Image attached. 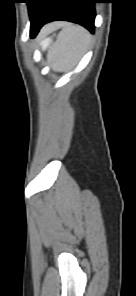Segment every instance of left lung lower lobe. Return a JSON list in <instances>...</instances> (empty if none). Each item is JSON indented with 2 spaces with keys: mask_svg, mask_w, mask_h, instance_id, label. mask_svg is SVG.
<instances>
[{
  "mask_svg": "<svg viewBox=\"0 0 136 296\" xmlns=\"http://www.w3.org/2000/svg\"><path fill=\"white\" fill-rule=\"evenodd\" d=\"M95 3H99V0H53L44 18L31 25V38L38 34L44 24L56 20L80 24L94 33Z\"/></svg>",
  "mask_w": 136,
  "mask_h": 296,
  "instance_id": "1",
  "label": "left lung lower lobe"
}]
</instances>
